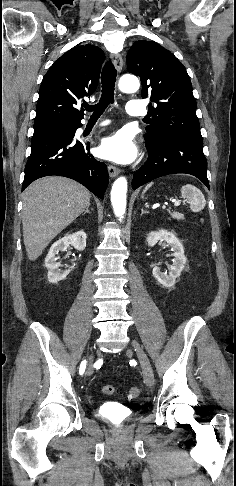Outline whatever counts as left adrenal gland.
Wrapping results in <instances>:
<instances>
[{
  "instance_id": "left-adrenal-gland-1",
  "label": "left adrenal gland",
  "mask_w": 236,
  "mask_h": 486,
  "mask_svg": "<svg viewBox=\"0 0 236 486\" xmlns=\"http://www.w3.org/2000/svg\"><path fill=\"white\" fill-rule=\"evenodd\" d=\"M144 213H148V211L141 209V215H143Z\"/></svg>"
}]
</instances>
